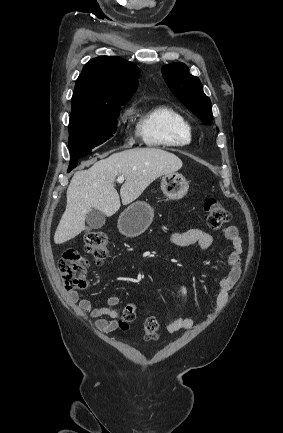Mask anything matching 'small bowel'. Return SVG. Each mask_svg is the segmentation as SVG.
Returning <instances> with one entry per match:
<instances>
[{
    "label": "small bowel",
    "mask_w": 283,
    "mask_h": 433,
    "mask_svg": "<svg viewBox=\"0 0 283 433\" xmlns=\"http://www.w3.org/2000/svg\"><path fill=\"white\" fill-rule=\"evenodd\" d=\"M222 233L229 241L231 250L227 258V273L220 278L218 282V292L216 295L215 307L208 314V318H212L218 314L229 301V292L234 287L241 275V253H242V240L240 238L238 229L229 225L226 226ZM170 241L179 247H187L197 245L202 249H209L213 245V237L211 234L201 229H189L187 231H180L172 224L170 226ZM185 291L186 288H184ZM70 300L76 303L78 308L95 319V327L103 333H110L118 327V311L115 308L120 302L118 296H110L107 299V304L95 307L87 299L79 298L76 292L70 294ZM194 320L189 316H180L168 323L166 329L170 333L178 332L181 330H189L193 327Z\"/></svg>",
    "instance_id": "small-bowel-1"
}]
</instances>
